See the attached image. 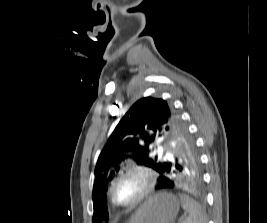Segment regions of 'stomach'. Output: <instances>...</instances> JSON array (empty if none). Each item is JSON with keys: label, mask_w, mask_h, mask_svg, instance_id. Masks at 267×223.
Masks as SVG:
<instances>
[{"label": "stomach", "mask_w": 267, "mask_h": 223, "mask_svg": "<svg viewBox=\"0 0 267 223\" xmlns=\"http://www.w3.org/2000/svg\"><path fill=\"white\" fill-rule=\"evenodd\" d=\"M180 207L177 196L160 192L149 197L133 214L128 223H172Z\"/></svg>", "instance_id": "obj_1"}]
</instances>
